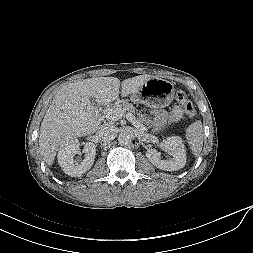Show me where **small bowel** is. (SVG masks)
<instances>
[{
  "label": "small bowel",
  "instance_id": "c3829d8e",
  "mask_svg": "<svg viewBox=\"0 0 253 253\" xmlns=\"http://www.w3.org/2000/svg\"><path fill=\"white\" fill-rule=\"evenodd\" d=\"M153 114L156 127H160L168 121H178L181 118L183 111L180 107L175 106L170 113L157 110Z\"/></svg>",
  "mask_w": 253,
  "mask_h": 253
}]
</instances>
